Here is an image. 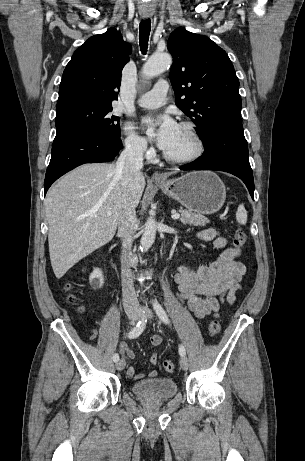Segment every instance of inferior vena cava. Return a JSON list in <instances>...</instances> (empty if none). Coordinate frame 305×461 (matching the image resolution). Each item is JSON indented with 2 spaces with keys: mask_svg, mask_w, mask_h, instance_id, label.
I'll list each match as a JSON object with an SVG mask.
<instances>
[{
  "mask_svg": "<svg viewBox=\"0 0 305 461\" xmlns=\"http://www.w3.org/2000/svg\"><path fill=\"white\" fill-rule=\"evenodd\" d=\"M144 146L140 143L126 145L116 163V175L121 179L124 188L129 187L135 176L142 175ZM137 218L135 208L126 203L119 213L118 232L122 237L121 279L123 305L125 308H137L138 299L134 289L130 260L132 258L131 247L134 234L137 230Z\"/></svg>",
  "mask_w": 305,
  "mask_h": 461,
  "instance_id": "1",
  "label": "inferior vena cava"
}]
</instances>
